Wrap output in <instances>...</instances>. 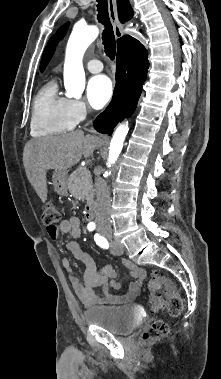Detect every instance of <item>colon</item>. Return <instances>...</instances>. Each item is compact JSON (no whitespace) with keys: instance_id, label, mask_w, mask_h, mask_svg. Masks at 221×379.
<instances>
[{"instance_id":"5ec220e1","label":"colon","mask_w":221,"mask_h":379,"mask_svg":"<svg viewBox=\"0 0 221 379\" xmlns=\"http://www.w3.org/2000/svg\"><path fill=\"white\" fill-rule=\"evenodd\" d=\"M41 220L48 230L53 231L60 221V212L55 205L49 203L43 209ZM148 287L151 292L149 304L154 314L163 312L171 316L181 314L184 306L183 299L174 282L158 273H153ZM160 290H163L162 295L157 293ZM168 332L169 325L165 321L156 320L142 333V339L154 341L165 337Z\"/></svg>"}]
</instances>
